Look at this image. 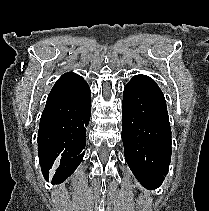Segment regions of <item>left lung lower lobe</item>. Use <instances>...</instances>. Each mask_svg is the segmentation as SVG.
<instances>
[{"mask_svg": "<svg viewBox=\"0 0 209 211\" xmlns=\"http://www.w3.org/2000/svg\"><path fill=\"white\" fill-rule=\"evenodd\" d=\"M122 109L125 159L144 187L156 189L171 160V128L164 95L152 78L135 75L124 88Z\"/></svg>", "mask_w": 209, "mask_h": 211, "instance_id": "left-lung-lower-lobe-1", "label": "left lung lower lobe"}]
</instances>
